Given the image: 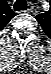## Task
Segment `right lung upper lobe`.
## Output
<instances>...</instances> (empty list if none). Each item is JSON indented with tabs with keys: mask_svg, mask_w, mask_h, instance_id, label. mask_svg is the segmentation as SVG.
I'll return each mask as SVG.
<instances>
[{
	"mask_svg": "<svg viewBox=\"0 0 51 74\" xmlns=\"http://www.w3.org/2000/svg\"><path fill=\"white\" fill-rule=\"evenodd\" d=\"M16 14L11 11L10 9H7L6 11V16H5V21H4V26L9 22L10 19H12Z\"/></svg>",
	"mask_w": 51,
	"mask_h": 74,
	"instance_id": "cb5924a9",
	"label": "right lung upper lobe"
}]
</instances>
